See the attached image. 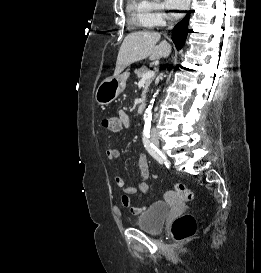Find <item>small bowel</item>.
<instances>
[{"instance_id":"1","label":"small bowel","mask_w":261,"mask_h":273,"mask_svg":"<svg viewBox=\"0 0 261 273\" xmlns=\"http://www.w3.org/2000/svg\"><path fill=\"white\" fill-rule=\"evenodd\" d=\"M118 117L120 118L121 126H124L126 128L131 127V117L128 113L120 110L118 112ZM120 155L121 152L119 149L109 148L106 150V157L111 161L118 159ZM137 161L140 170V179L135 185L127 186L126 181L122 175L117 174L115 176V183L117 187L123 191L121 203L124 207L129 208L131 213L133 214L142 213L146 207H132L130 195L136 194L138 191H141L142 193L148 192L147 179L149 176V163L147 156L144 153H139Z\"/></svg>"}]
</instances>
